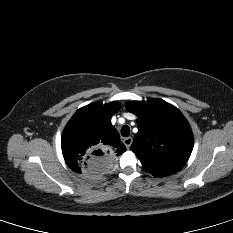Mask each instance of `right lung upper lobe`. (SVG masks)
I'll return each instance as SVG.
<instances>
[{"instance_id":"cb5924a9","label":"right lung upper lobe","mask_w":233,"mask_h":233,"mask_svg":"<svg viewBox=\"0 0 233 233\" xmlns=\"http://www.w3.org/2000/svg\"><path fill=\"white\" fill-rule=\"evenodd\" d=\"M119 109L118 102L92 103L77 110L66 125L61 146L68 166L91 178L113 169L118 156L126 151L111 118Z\"/></svg>"}]
</instances>
